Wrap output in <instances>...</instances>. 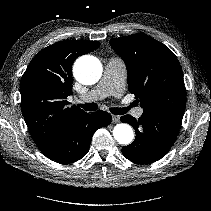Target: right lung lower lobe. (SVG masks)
Here are the masks:
<instances>
[{
  "label": "right lung lower lobe",
  "instance_id": "obj_1",
  "mask_svg": "<svg viewBox=\"0 0 211 211\" xmlns=\"http://www.w3.org/2000/svg\"><path fill=\"white\" fill-rule=\"evenodd\" d=\"M110 123L111 115L108 112L98 110L92 113H80L40 151L57 163H73L87 154L95 131Z\"/></svg>",
  "mask_w": 211,
  "mask_h": 211
}]
</instances>
